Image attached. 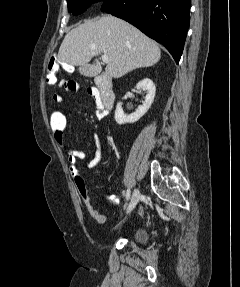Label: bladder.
I'll list each match as a JSON object with an SVG mask.
<instances>
[{"instance_id":"bladder-1","label":"bladder","mask_w":240,"mask_h":287,"mask_svg":"<svg viewBox=\"0 0 240 287\" xmlns=\"http://www.w3.org/2000/svg\"><path fill=\"white\" fill-rule=\"evenodd\" d=\"M133 238L137 241V242H145L147 240V234L144 230L142 229H136L133 232Z\"/></svg>"}]
</instances>
